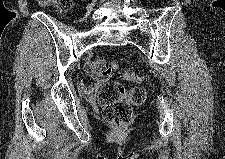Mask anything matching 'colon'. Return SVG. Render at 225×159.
<instances>
[{"instance_id":"colon-1","label":"colon","mask_w":225,"mask_h":159,"mask_svg":"<svg viewBox=\"0 0 225 159\" xmlns=\"http://www.w3.org/2000/svg\"><path fill=\"white\" fill-rule=\"evenodd\" d=\"M44 4H53L61 12L70 9L72 0H41ZM117 69V63L113 60L98 57L92 63L94 77L99 81L108 78ZM121 77L133 83H141L145 80V75L132 69H126ZM147 92L143 87H135L127 91L125 87L117 81H107L102 86L98 94V101L106 121L115 126H124L132 120V107L142 105L146 100Z\"/></svg>"}]
</instances>
